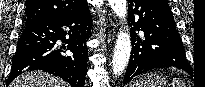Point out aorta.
Returning a JSON list of instances; mask_svg holds the SVG:
<instances>
[{
    "instance_id": "762f6f07",
    "label": "aorta",
    "mask_w": 205,
    "mask_h": 87,
    "mask_svg": "<svg viewBox=\"0 0 205 87\" xmlns=\"http://www.w3.org/2000/svg\"><path fill=\"white\" fill-rule=\"evenodd\" d=\"M110 7L114 13L125 22L127 15V1L126 0H108ZM131 54V40L130 34L125 30L120 31L117 37L113 60L112 70L114 75L121 74L126 68Z\"/></svg>"
}]
</instances>
